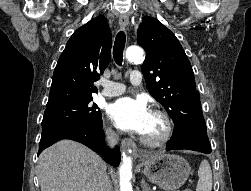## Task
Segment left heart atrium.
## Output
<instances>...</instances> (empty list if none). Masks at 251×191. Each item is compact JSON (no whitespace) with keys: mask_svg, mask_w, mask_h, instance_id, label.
<instances>
[{"mask_svg":"<svg viewBox=\"0 0 251 191\" xmlns=\"http://www.w3.org/2000/svg\"><path fill=\"white\" fill-rule=\"evenodd\" d=\"M107 114L120 130L143 133L151 117L150 109L142 100L120 98L108 105Z\"/></svg>","mask_w":251,"mask_h":191,"instance_id":"1","label":"left heart atrium"}]
</instances>
